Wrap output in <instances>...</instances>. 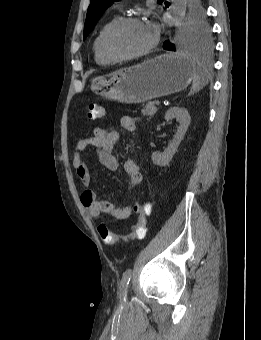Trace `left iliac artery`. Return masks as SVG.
Instances as JSON below:
<instances>
[{
	"label": "left iliac artery",
	"instance_id": "1",
	"mask_svg": "<svg viewBox=\"0 0 261 340\" xmlns=\"http://www.w3.org/2000/svg\"><path fill=\"white\" fill-rule=\"evenodd\" d=\"M132 276V269H127L122 276L121 283H120V300L122 302H126V293H127V287L130 283Z\"/></svg>",
	"mask_w": 261,
	"mask_h": 340
}]
</instances>
